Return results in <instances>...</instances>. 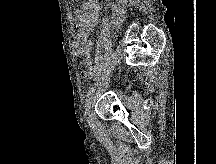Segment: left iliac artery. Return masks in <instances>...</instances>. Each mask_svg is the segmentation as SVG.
<instances>
[{
	"label": "left iliac artery",
	"instance_id": "left-iliac-artery-1",
	"mask_svg": "<svg viewBox=\"0 0 216 164\" xmlns=\"http://www.w3.org/2000/svg\"><path fill=\"white\" fill-rule=\"evenodd\" d=\"M95 89H96V85H95V86H92V87L90 88V90L87 92L86 105H85V107H86V112H85V114H86V115L89 114L88 108H89L90 105H91L92 94L94 93Z\"/></svg>",
	"mask_w": 216,
	"mask_h": 164
}]
</instances>
